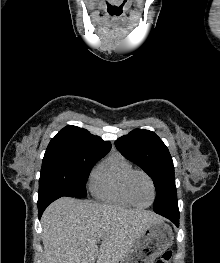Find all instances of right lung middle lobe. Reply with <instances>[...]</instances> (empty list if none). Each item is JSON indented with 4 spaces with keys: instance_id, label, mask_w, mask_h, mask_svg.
<instances>
[{
    "instance_id": "1",
    "label": "right lung middle lobe",
    "mask_w": 220,
    "mask_h": 263,
    "mask_svg": "<svg viewBox=\"0 0 220 263\" xmlns=\"http://www.w3.org/2000/svg\"><path fill=\"white\" fill-rule=\"evenodd\" d=\"M104 155L83 151H46L39 179L38 203L54 197L83 198L86 180Z\"/></svg>"
}]
</instances>
